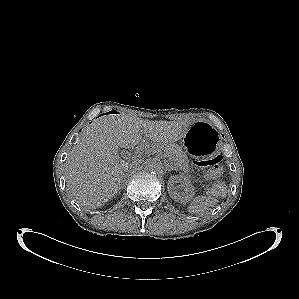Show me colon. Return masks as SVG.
<instances>
[{
    "label": "colon",
    "mask_w": 299,
    "mask_h": 299,
    "mask_svg": "<svg viewBox=\"0 0 299 299\" xmlns=\"http://www.w3.org/2000/svg\"><path fill=\"white\" fill-rule=\"evenodd\" d=\"M194 163L197 167L205 171V176L208 179H215L222 172V156L220 155L205 161H195ZM214 190L213 186L208 189L210 193L214 192Z\"/></svg>",
    "instance_id": "colon-1"
}]
</instances>
